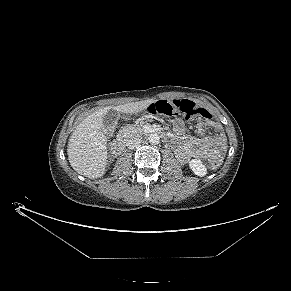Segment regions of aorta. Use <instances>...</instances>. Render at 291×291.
Masks as SVG:
<instances>
[{"label":"aorta","instance_id":"762f6f07","mask_svg":"<svg viewBox=\"0 0 291 291\" xmlns=\"http://www.w3.org/2000/svg\"><path fill=\"white\" fill-rule=\"evenodd\" d=\"M149 142L152 145H157L160 142V137L158 134H151L149 136Z\"/></svg>","mask_w":291,"mask_h":291}]
</instances>
